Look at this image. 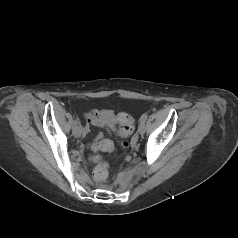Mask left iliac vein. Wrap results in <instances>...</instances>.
<instances>
[{"mask_svg": "<svg viewBox=\"0 0 238 238\" xmlns=\"http://www.w3.org/2000/svg\"><path fill=\"white\" fill-rule=\"evenodd\" d=\"M138 132L139 134H144L145 132V123L140 122L139 127H138Z\"/></svg>", "mask_w": 238, "mask_h": 238, "instance_id": "left-iliac-vein-1", "label": "left iliac vein"}]
</instances>
